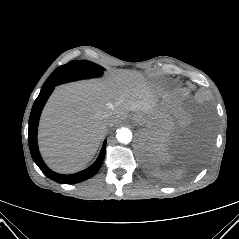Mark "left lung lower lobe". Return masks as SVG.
<instances>
[{
	"label": "left lung lower lobe",
	"mask_w": 239,
	"mask_h": 239,
	"mask_svg": "<svg viewBox=\"0 0 239 239\" xmlns=\"http://www.w3.org/2000/svg\"><path fill=\"white\" fill-rule=\"evenodd\" d=\"M163 146L158 144L156 140H145L142 144V151L146 161L149 164L155 165L160 159Z\"/></svg>",
	"instance_id": "obj_1"
}]
</instances>
